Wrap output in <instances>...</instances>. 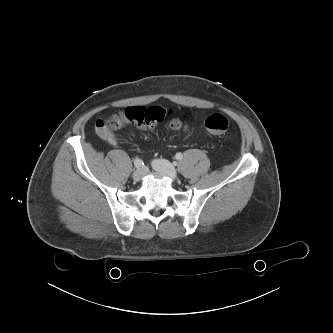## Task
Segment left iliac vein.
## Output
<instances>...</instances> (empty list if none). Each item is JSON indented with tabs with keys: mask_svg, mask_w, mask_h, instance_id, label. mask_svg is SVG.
<instances>
[{
	"mask_svg": "<svg viewBox=\"0 0 333 333\" xmlns=\"http://www.w3.org/2000/svg\"><path fill=\"white\" fill-rule=\"evenodd\" d=\"M152 167L154 170L170 177L173 180L177 179L176 169L167 160L156 159L152 162Z\"/></svg>",
	"mask_w": 333,
	"mask_h": 333,
	"instance_id": "4c4485c4",
	"label": "left iliac vein"
}]
</instances>
